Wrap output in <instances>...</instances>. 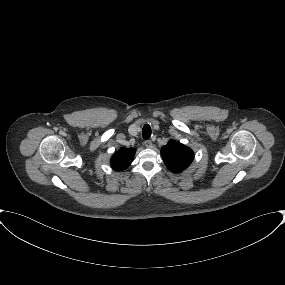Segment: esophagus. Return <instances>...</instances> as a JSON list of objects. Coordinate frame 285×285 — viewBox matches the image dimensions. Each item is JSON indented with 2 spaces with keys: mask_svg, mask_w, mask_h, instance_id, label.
<instances>
[{
  "mask_svg": "<svg viewBox=\"0 0 285 285\" xmlns=\"http://www.w3.org/2000/svg\"><path fill=\"white\" fill-rule=\"evenodd\" d=\"M144 145H145L146 148H152V146H153L151 140H146V141L144 142Z\"/></svg>",
  "mask_w": 285,
  "mask_h": 285,
  "instance_id": "esophagus-1",
  "label": "esophagus"
}]
</instances>
